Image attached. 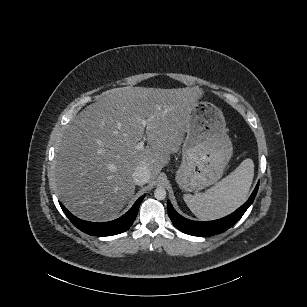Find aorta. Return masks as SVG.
<instances>
[{"instance_id": "762f6f07", "label": "aorta", "mask_w": 307, "mask_h": 307, "mask_svg": "<svg viewBox=\"0 0 307 307\" xmlns=\"http://www.w3.org/2000/svg\"><path fill=\"white\" fill-rule=\"evenodd\" d=\"M154 197L157 200H163L166 197V190L164 188L158 187L154 191Z\"/></svg>"}]
</instances>
